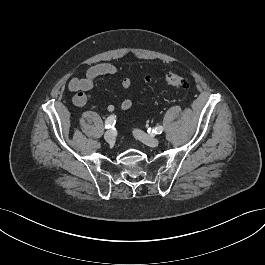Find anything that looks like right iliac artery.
Wrapping results in <instances>:
<instances>
[{
	"label": "right iliac artery",
	"instance_id": "82829eb1",
	"mask_svg": "<svg viewBox=\"0 0 265 265\" xmlns=\"http://www.w3.org/2000/svg\"><path fill=\"white\" fill-rule=\"evenodd\" d=\"M115 123H116V116L115 115H111L105 121V128L106 129L113 128Z\"/></svg>",
	"mask_w": 265,
	"mask_h": 265
}]
</instances>
